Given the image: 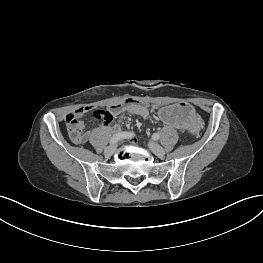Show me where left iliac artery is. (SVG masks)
Wrapping results in <instances>:
<instances>
[{
    "instance_id": "left-iliac-artery-1",
    "label": "left iliac artery",
    "mask_w": 263,
    "mask_h": 263,
    "mask_svg": "<svg viewBox=\"0 0 263 263\" xmlns=\"http://www.w3.org/2000/svg\"><path fill=\"white\" fill-rule=\"evenodd\" d=\"M152 139H153V140H159V139H160V135H159L158 133H154V134L152 135Z\"/></svg>"
}]
</instances>
